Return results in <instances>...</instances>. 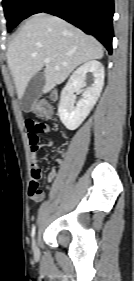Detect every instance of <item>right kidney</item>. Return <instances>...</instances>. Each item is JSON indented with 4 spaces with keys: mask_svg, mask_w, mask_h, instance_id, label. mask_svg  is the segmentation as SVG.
I'll use <instances>...</instances> for the list:
<instances>
[{
    "mask_svg": "<svg viewBox=\"0 0 134 281\" xmlns=\"http://www.w3.org/2000/svg\"><path fill=\"white\" fill-rule=\"evenodd\" d=\"M87 73L93 74L94 82L83 90L82 99L74 107V93L86 86ZM103 85L104 66L99 61L90 60L74 71L61 92L58 106V115L67 129L75 130L81 125L100 97Z\"/></svg>",
    "mask_w": 134,
    "mask_h": 281,
    "instance_id": "right-kidney-1",
    "label": "right kidney"
}]
</instances>
